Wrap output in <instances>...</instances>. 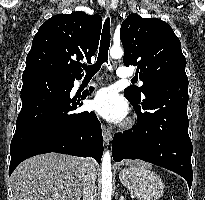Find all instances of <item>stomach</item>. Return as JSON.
Segmentation results:
<instances>
[{
	"label": "stomach",
	"instance_id": "0dacf381",
	"mask_svg": "<svg viewBox=\"0 0 205 200\" xmlns=\"http://www.w3.org/2000/svg\"><path fill=\"white\" fill-rule=\"evenodd\" d=\"M119 178L138 200H159L164 194L162 179L144 163H134L122 169Z\"/></svg>",
	"mask_w": 205,
	"mask_h": 200
}]
</instances>
